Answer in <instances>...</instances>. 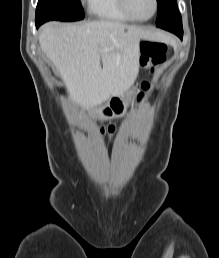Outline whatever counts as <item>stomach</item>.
I'll return each instance as SVG.
<instances>
[{"label": "stomach", "mask_w": 219, "mask_h": 258, "mask_svg": "<svg viewBox=\"0 0 219 258\" xmlns=\"http://www.w3.org/2000/svg\"><path fill=\"white\" fill-rule=\"evenodd\" d=\"M132 96V91H127L124 95L112 96L104 105L92 108L89 112L101 120L123 117L126 114Z\"/></svg>", "instance_id": "stomach-1"}]
</instances>
